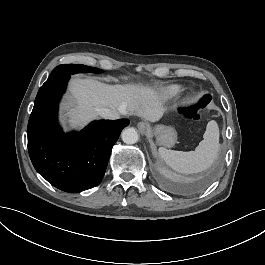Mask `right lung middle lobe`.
Returning <instances> with one entry per match:
<instances>
[{"instance_id": "dd1d6c3e", "label": "right lung middle lobe", "mask_w": 265, "mask_h": 265, "mask_svg": "<svg viewBox=\"0 0 265 265\" xmlns=\"http://www.w3.org/2000/svg\"><path fill=\"white\" fill-rule=\"evenodd\" d=\"M81 72L101 73L102 70L98 68L88 67L85 65H79V64H64V65L57 66L50 74L48 80L54 79L60 76L71 75V74H76V73H81Z\"/></svg>"}]
</instances>
